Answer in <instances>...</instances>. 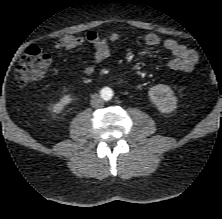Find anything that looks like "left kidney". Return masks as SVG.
<instances>
[{
  "instance_id": "1",
  "label": "left kidney",
  "mask_w": 222,
  "mask_h": 219,
  "mask_svg": "<svg viewBox=\"0 0 222 219\" xmlns=\"http://www.w3.org/2000/svg\"><path fill=\"white\" fill-rule=\"evenodd\" d=\"M148 95L161 113H171L176 109L177 98L168 85L153 86Z\"/></svg>"
}]
</instances>
